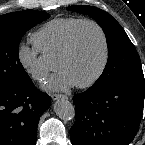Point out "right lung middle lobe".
Masks as SVG:
<instances>
[{"label":"right lung middle lobe","mask_w":145,"mask_h":145,"mask_svg":"<svg viewBox=\"0 0 145 145\" xmlns=\"http://www.w3.org/2000/svg\"><path fill=\"white\" fill-rule=\"evenodd\" d=\"M49 17L48 13L36 10L0 16V88L18 87L28 81L19 60V43L26 31Z\"/></svg>","instance_id":"obj_1"}]
</instances>
